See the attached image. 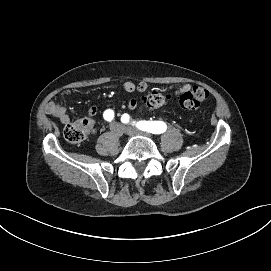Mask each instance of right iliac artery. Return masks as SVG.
Returning <instances> with one entry per match:
<instances>
[{
    "mask_svg": "<svg viewBox=\"0 0 271 271\" xmlns=\"http://www.w3.org/2000/svg\"><path fill=\"white\" fill-rule=\"evenodd\" d=\"M103 117L105 120L111 121L114 118V112L108 109L104 112Z\"/></svg>",
    "mask_w": 271,
    "mask_h": 271,
    "instance_id": "1",
    "label": "right iliac artery"
}]
</instances>
